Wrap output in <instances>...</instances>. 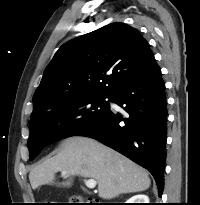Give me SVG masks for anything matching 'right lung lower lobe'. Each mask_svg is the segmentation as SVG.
Masks as SVG:
<instances>
[{"mask_svg":"<svg viewBox=\"0 0 200 205\" xmlns=\"http://www.w3.org/2000/svg\"><path fill=\"white\" fill-rule=\"evenodd\" d=\"M111 101L125 112L109 110L77 135L94 138L146 168L162 195L166 160V95L161 69L154 62L117 90Z\"/></svg>","mask_w":200,"mask_h":205,"instance_id":"1","label":"right lung lower lobe"}]
</instances>
